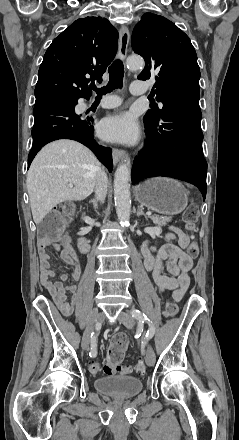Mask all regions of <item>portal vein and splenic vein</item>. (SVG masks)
<instances>
[{
    "instance_id": "18ae733b",
    "label": "portal vein and splenic vein",
    "mask_w": 239,
    "mask_h": 440,
    "mask_svg": "<svg viewBox=\"0 0 239 440\" xmlns=\"http://www.w3.org/2000/svg\"><path fill=\"white\" fill-rule=\"evenodd\" d=\"M69 188H73V184H69ZM147 216H151V212H147Z\"/></svg>"
}]
</instances>
